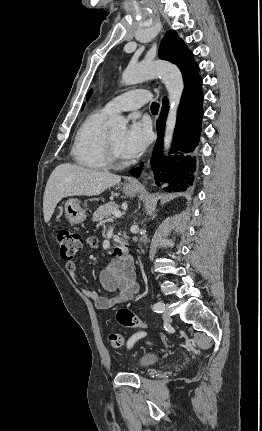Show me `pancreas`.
I'll return each mask as SVG.
<instances>
[{"mask_svg":"<svg viewBox=\"0 0 262 431\" xmlns=\"http://www.w3.org/2000/svg\"><path fill=\"white\" fill-rule=\"evenodd\" d=\"M119 210V206L114 202L106 203L100 206L93 214V221L100 222L103 219L110 218L115 211Z\"/></svg>","mask_w":262,"mask_h":431,"instance_id":"cf45deb5","label":"pancreas"}]
</instances>
